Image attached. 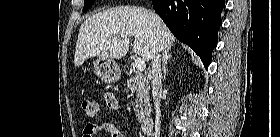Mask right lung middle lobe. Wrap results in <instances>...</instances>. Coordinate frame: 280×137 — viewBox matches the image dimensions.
<instances>
[{
  "mask_svg": "<svg viewBox=\"0 0 280 137\" xmlns=\"http://www.w3.org/2000/svg\"><path fill=\"white\" fill-rule=\"evenodd\" d=\"M96 0H84L83 12L87 11Z\"/></svg>",
  "mask_w": 280,
  "mask_h": 137,
  "instance_id": "1",
  "label": "right lung middle lobe"
}]
</instances>
